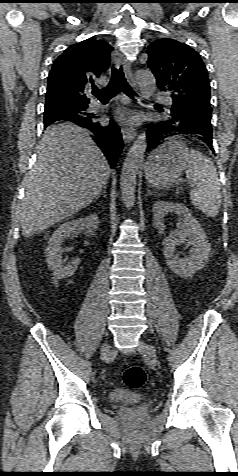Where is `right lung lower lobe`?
I'll list each match as a JSON object with an SVG mask.
<instances>
[{
  "label": "right lung lower lobe",
  "instance_id": "obj_1",
  "mask_svg": "<svg viewBox=\"0 0 238 476\" xmlns=\"http://www.w3.org/2000/svg\"><path fill=\"white\" fill-rule=\"evenodd\" d=\"M95 116L73 120L72 122L80 127L89 129L94 135L93 140L103 151L112 167L116 165L118 156L122 151V135L118 125L110 120L108 126L98 123ZM49 124H44L46 128Z\"/></svg>",
  "mask_w": 238,
  "mask_h": 476
}]
</instances>
